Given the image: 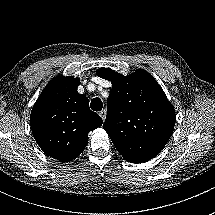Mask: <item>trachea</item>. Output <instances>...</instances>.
<instances>
[{
  "instance_id": "3493384b",
  "label": "trachea",
  "mask_w": 215,
  "mask_h": 215,
  "mask_svg": "<svg viewBox=\"0 0 215 215\" xmlns=\"http://www.w3.org/2000/svg\"><path fill=\"white\" fill-rule=\"evenodd\" d=\"M103 108L102 100L98 97L93 98L91 101V109L93 111H101Z\"/></svg>"
}]
</instances>
